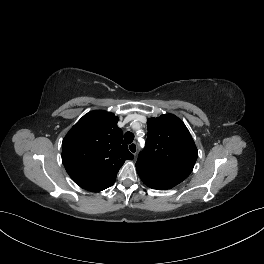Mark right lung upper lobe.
<instances>
[{"label":"right lung upper lobe","mask_w":264,"mask_h":264,"mask_svg":"<svg viewBox=\"0 0 264 264\" xmlns=\"http://www.w3.org/2000/svg\"><path fill=\"white\" fill-rule=\"evenodd\" d=\"M117 122L113 113L92 111L63 139L62 162L80 187L98 192L112 186L125 160L134 158Z\"/></svg>","instance_id":"cb5924a9"}]
</instances>
